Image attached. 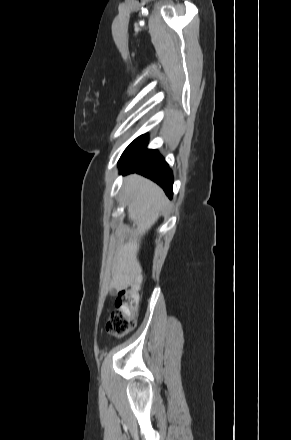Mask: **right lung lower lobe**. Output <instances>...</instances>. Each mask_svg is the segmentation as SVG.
<instances>
[{"label": "right lung lower lobe", "mask_w": 291, "mask_h": 440, "mask_svg": "<svg viewBox=\"0 0 291 440\" xmlns=\"http://www.w3.org/2000/svg\"><path fill=\"white\" fill-rule=\"evenodd\" d=\"M147 134L136 138L122 154L120 173H139L158 183L172 198L173 175L168 164L156 150L147 149Z\"/></svg>", "instance_id": "98d812e1"}]
</instances>
